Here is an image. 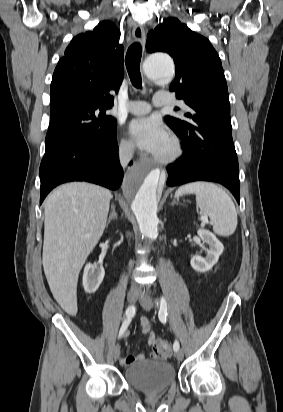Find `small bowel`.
Instances as JSON below:
<instances>
[{
  "label": "small bowel",
  "instance_id": "obj_1",
  "mask_svg": "<svg viewBox=\"0 0 283 412\" xmlns=\"http://www.w3.org/2000/svg\"><path fill=\"white\" fill-rule=\"evenodd\" d=\"M140 324H141L143 333H145L147 335V341H148L149 345H153L154 342H155V334L152 331L150 321L148 320V318L142 317L140 319ZM125 335L126 336L128 335V331L125 333ZM145 359H146V356L141 353V354H138L136 356H132V355L125 356V357L121 358L120 363L122 365L128 366V365H131L135 362H143Z\"/></svg>",
  "mask_w": 283,
  "mask_h": 412
}]
</instances>
